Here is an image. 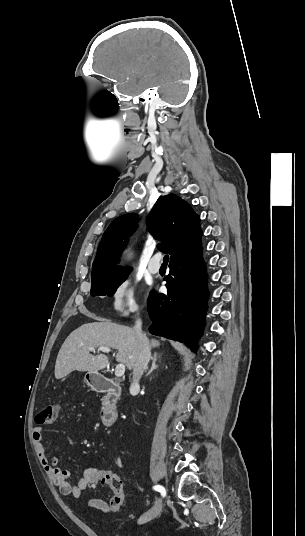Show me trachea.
<instances>
[{
    "label": "trachea",
    "mask_w": 305,
    "mask_h": 536,
    "mask_svg": "<svg viewBox=\"0 0 305 536\" xmlns=\"http://www.w3.org/2000/svg\"><path fill=\"white\" fill-rule=\"evenodd\" d=\"M168 260H169V255H165L163 258V262L168 263Z\"/></svg>",
    "instance_id": "3493384b"
}]
</instances>
